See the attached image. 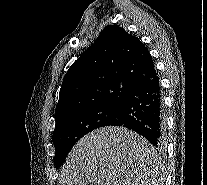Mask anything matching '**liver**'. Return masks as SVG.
Segmentation results:
<instances>
[{
	"mask_svg": "<svg viewBox=\"0 0 207 185\" xmlns=\"http://www.w3.org/2000/svg\"><path fill=\"white\" fill-rule=\"evenodd\" d=\"M155 153L151 143L131 129L100 127L71 149L62 185H152Z\"/></svg>",
	"mask_w": 207,
	"mask_h": 185,
	"instance_id": "6515ba94",
	"label": "liver"
}]
</instances>
